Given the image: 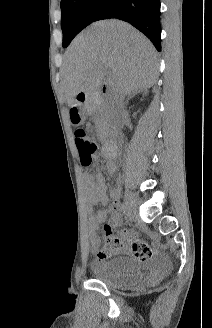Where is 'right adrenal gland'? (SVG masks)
Returning <instances> with one entry per match:
<instances>
[{
    "mask_svg": "<svg viewBox=\"0 0 212 328\" xmlns=\"http://www.w3.org/2000/svg\"><path fill=\"white\" fill-rule=\"evenodd\" d=\"M141 90H136V91H133L129 96H128V99L126 101V103H128L129 99L133 98L135 95H137L138 93H140Z\"/></svg>",
    "mask_w": 212,
    "mask_h": 328,
    "instance_id": "1",
    "label": "right adrenal gland"
}]
</instances>
